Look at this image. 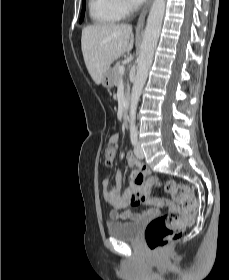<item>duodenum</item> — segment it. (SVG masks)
<instances>
[{
	"instance_id": "410a0bca",
	"label": "duodenum",
	"mask_w": 229,
	"mask_h": 280,
	"mask_svg": "<svg viewBox=\"0 0 229 280\" xmlns=\"http://www.w3.org/2000/svg\"><path fill=\"white\" fill-rule=\"evenodd\" d=\"M123 125L127 126L129 123V99L124 97L123 100V115H122Z\"/></svg>"
}]
</instances>
